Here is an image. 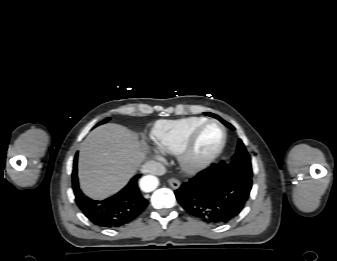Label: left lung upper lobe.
Segmentation results:
<instances>
[{"label":"left lung upper lobe","instance_id":"left-lung-upper-lobe-1","mask_svg":"<svg viewBox=\"0 0 337 261\" xmlns=\"http://www.w3.org/2000/svg\"><path fill=\"white\" fill-rule=\"evenodd\" d=\"M216 116V115H215ZM221 122H223L228 127L233 128L230 124L226 123L220 117H216ZM232 164L235 168L242 171L245 175L252 178V166H251V158L241 140L238 141V147L235 155L232 157Z\"/></svg>","mask_w":337,"mask_h":261}]
</instances>
